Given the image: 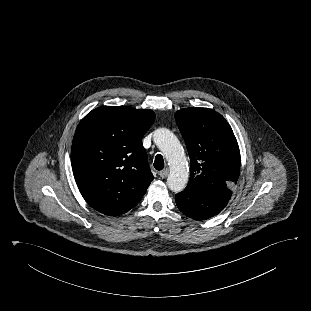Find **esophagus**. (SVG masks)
Returning <instances> with one entry per match:
<instances>
[{"mask_svg": "<svg viewBox=\"0 0 311 311\" xmlns=\"http://www.w3.org/2000/svg\"><path fill=\"white\" fill-rule=\"evenodd\" d=\"M168 173H169V169L168 168H165L164 170L160 171L159 172V176L161 178H166L168 176Z\"/></svg>", "mask_w": 311, "mask_h": 311, "instance_id": "1", "label": "esophagus"}]
</instances>
